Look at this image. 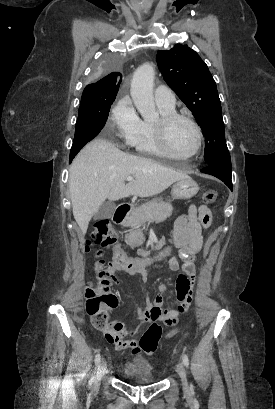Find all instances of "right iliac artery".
Instances as JSON below:
<instances>
[{
	"mask_svg": "<svg viewBox=\"0 0 275 409\" xmlns=\"http://www.w3.org/2000/svg\"><path fill=\"white\" fill-rule=\"evenodd\" d=\"M100 360H101V356H100V353L98 352V353L96 354V356H95V364H96V366H98V364L100 363ZM89 382L92 383V382H93V378H91Z\"/></svg>",
	"mask_w": 275,
	"mask_h": 409,
	"instance_id": "obj_1",
	"label": "right iliac artery"
}]
</instances>
